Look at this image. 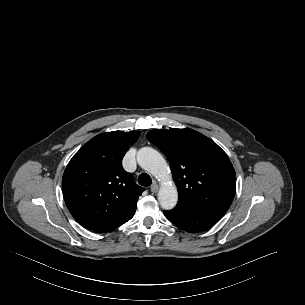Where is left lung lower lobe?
Instances as JSON below:
<instances>
[{
    "label": "left lung lower lobe",
    "instance_id": "0a47b994",
    "mask_svg": "<svg viewBox=\"0 0 305 305\" xmlns=\"http://www.w3.org/2000/svg\"><path fill=\"white\" fill-rule=\"evenodd\" d=\"M226 211L209 210V211H184L172 209L164 211L165 217L180 229L187 232H201L211 228L216 224Z\"/></svg>",
    "mask_w": 305,
    "mask_h": 305
}]
</instances>
